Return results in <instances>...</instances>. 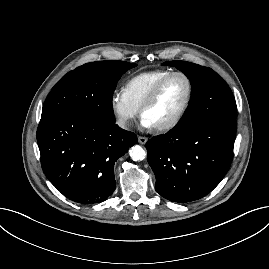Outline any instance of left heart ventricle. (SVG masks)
I'll return each mask as SVG.
<instances>
[{"instance_id": "b2bd125f", "label": "left heart ventricle", "mask_w": 269, "mask_h": 269, "mask_svg": "<svg viewBox=\"0 0 269 269\" xmlns=\"http://www.w3.org/2000/svg\"><path fill=\"white\" fill-rule=\"evenodd\" d=\"M188 95L187 81L181 76L169 79L157 100L145 111L143 117L158 126L172 120L182 109Z\"/></svg>"}]
</instances>
